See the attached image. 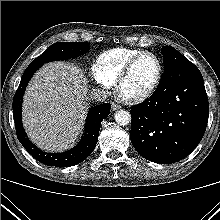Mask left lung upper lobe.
<instances>
[{"label": "left lung upper lobe", "mask_w": 220, "mask_h": 220, "mask_svg": "<svg viewBox=\"0 0 220 220\" xmlns=\"http://www.w3.org/2000/svg\"><path fill=\"white\" fill-rule=\"evenodd\" d=\"M161 53L163 54L164 70H167L173 66L190 63L187 58H185L172 46H164Z\"/></svg>", "instance_id": "left-lung-upper-lobe-1"}]
</instances>
